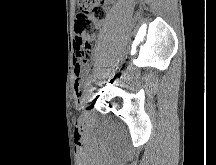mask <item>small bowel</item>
Listing matches in <instances>:
<instances>
[{"instance_id":"c3829d8e","label":"small bowel","mask_w":216,"mask_h":165,"mask_svg":"<svg viewBox=\"0 0 216 165\" xmlns=\"http://www.w3.org/2000/svg\"><path fill=\"white\" fill-rule=\"evenodd\" d=\"M82 72L83 66L79 64L76 60L74 62V76H75V91L77 94H81L82 87Z\"/></svg>"}]
</instances>
